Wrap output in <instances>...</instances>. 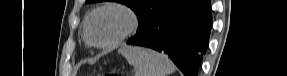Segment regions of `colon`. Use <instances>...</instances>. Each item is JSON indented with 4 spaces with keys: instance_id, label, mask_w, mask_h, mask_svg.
I'll use <instances>...</instances> for the list:
<instances>
[{
    "instance_id": "colon-1",
    "label": "colon",
    "mask_w": 287,
    "mask_h": 76,
    "mask_svg": "<svg viewBox=\"0 0 287 76\" xmlns=\"http://www.w3.org/2000/svg\"><path fill=\"white\" fill-rule=\"evenodd\" d=\"M108 76H117L115 73H110Z\"/></svg>"
}]
</instances>
